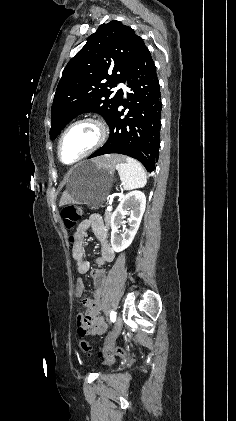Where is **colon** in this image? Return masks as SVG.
<instances>
[{"mask_svg":"<svg viewBox=\"0 0 236 421\" xmlns=\"http://www.w3.org/2000/svg\"><path fill=\"white\" fill-rule=\"evenodd\" d=\"M61 217H62L65 225L68 228H72L82 218V209L79 206L74 205V204L66 205V206L63 207V209L61 211ZM71 240H72V242H74L76 244V242H77L76 236L71 237ZM82 250L83 249H78L76 251V255L81 256ZM81 267H82V265H81ZM78 331H79V333H81L83 331V327L80 326ZM78 347L81 351H83L85 353L90 354L93 351L90 343L85 341V340H80L78 342ZM104 355H105V357H113V356L126 357L128 355V352L123 348H116V349L112 350L111 352L105 353Z\"/></svg>","mask_w":236,"mask_h":421,"instance_id":"1","label":"colon"}]
</instances>
